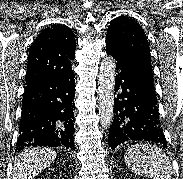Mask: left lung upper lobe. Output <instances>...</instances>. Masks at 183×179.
I'll list each match as a JSON object with an SVG mask.
<instances>
[{
	"instance_id": "obj_1",
	"label": "left lung upper lobe",
	"mask_w": 183,
	"mask_h": 179,
	"mask_svg": "<svg viewBox=\"0 0 183 179\" xmlns=\"http://www.w3.org/2000/svg\"><path fill=\"white\" fill-rule=\"evenodd\" d=\"M106 40L113 42L118 48L141 63L153 84L150 49L141 26L128 16L115 18L108 27Z\"/></svg>"
}]
</instances>
